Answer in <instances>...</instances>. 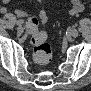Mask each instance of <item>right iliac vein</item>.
Here are the masks:
<instances>
[{
	"label": "right iliac vein",
	"instance_id": "obj_1",
	"mask_svg": "<svg viewBox=\"0 0 91 91\" xmlns=\"http://www.w3.org/2000/svg\"><path fill=\"white\" fill-rule=\"evenodd\" d=\"M23 30H24V29H23V27H22V26H18V27H17V31H18L19 33H22V32H23Z\"/></svg>",
	"mask_w": 91,
	"mask_h": 91
}]
</instances>
